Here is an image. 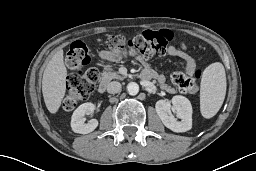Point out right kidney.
<instances>
[{"label": "right kidney", "instance_id": "1", "mask_svg": "<svg viewBox=\"0 0 256 171\" xmlns=\"http://www.w3.org/2000/svg\"><path fill=\"white\" fill-rule=\"evenodd\" d=\"M95 105L91 102L81 104L72 114L71 128L75 133L88 134L96 129L98 121L91 119L85 123L84 115H90L94 112Z\"/></svg>", "mask_w": 256, "mask_h": 171}]
</instances>
